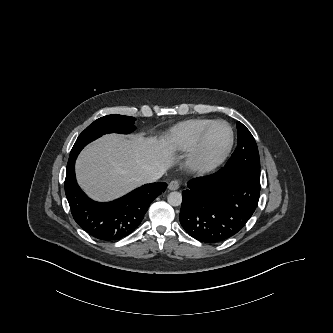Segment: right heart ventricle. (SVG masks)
Listing matches in <instances>:
<instances>
[{"instance_id":"right-heart-ventricle-1","label":"right heart ventricle","mask_w":333,"mask_h":333,"mask_svg":"<svg viewBox=\"0 0 333 333\" xmlns=\"http://www.w3.org/2000/svg\"><path fill=\"white\" fill-rule=\"evenodd\" d=\"M212 119L195 118L178 123L165 135L166 141L177 150L193 148Z\"/></svg>"}]
</instances>
